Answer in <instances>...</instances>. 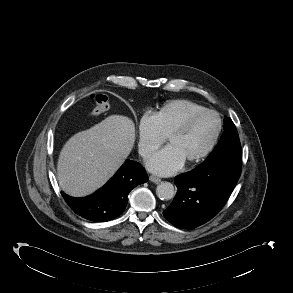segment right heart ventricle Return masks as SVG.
Masks as SVG:
<instances>
[{"label":"right heart ventricle","instance_id":"e07e8e85","mask_svg":"<svg viewBox=\"0 0 293 293\" xmlns=\"http://www.w3.org/2000/svg\"><path fill=\"white\" fill-rule=\"evenodd\" d=\"M206 109L187 99H177L163 104L153 115L161 134L167 137L191 114Z\"/></svg>","mask_w":293,"mask_h":293}]
</instances>
